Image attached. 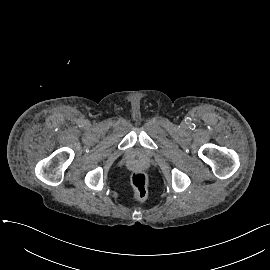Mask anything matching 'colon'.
<instances>
[{
	"mask_svg": "<svg viewBox=\"0 0 270 270\" xmlns=\"http://www.w3.org/2000/svg\"><path fill=\"white\" fill-rule=\"evenodd\" d=\"M133 196L135 200L141 201L148 194V179L143 172H135L131 176Z\"/></svg>",
	"mask_w": 270,
	"mask_h": 270,
	"instance_id": "obj_1",
	"label": "colon"
}]
</instances>
